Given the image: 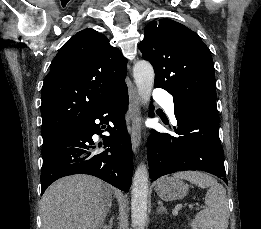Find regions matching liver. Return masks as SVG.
Segmentation results:
<instances>
[{"instance_id":"6515ba94","label":"liver","mask_w":261,"mask_h":229,"mask_svg":"<svg viewBox=\"0 0 261 229\" xmlns=\"http://www.w3.org/2000/svg\"><path fill=\"white\" fill-rule=\"evenodd\" d=\"M41 229H102L112 205L111 185L91 177H63L41 199Z\"/></svg>"}]
</instances>
